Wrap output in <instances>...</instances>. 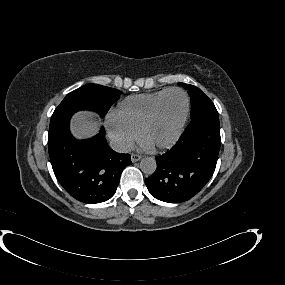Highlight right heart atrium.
I'll return each mask as SVG.
<instances>
[{"label":"right heart atrium","instance_id":"obj_1","mask_svg":"<svg viewBox=\"0 0 285 285\" xmlns=\"http://www.w3.org/2000/svg\"><path fill=\"white\" fill-rule=\"evenodd\" d=\"M106 129L110 138L123 150L129 149L137 137L136 133L121 124L115 115L108 118Z\"/></svg>","mask_w":285,"mask_h":285}]
</instances>
